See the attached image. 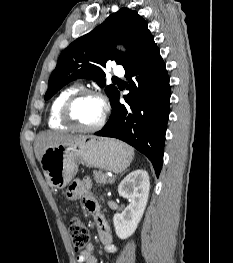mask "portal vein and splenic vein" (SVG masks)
Segmentation results:
<instances>
[{"label": "portal vein and splenic vein", "instance_id": "1", "mask_svg": "<svg viewBox=\"0 0 233 263\" xmlns=\"http://www.w3.org/2000/svg\"><path fill=\"white\" fill-rule=\"evenodd\" d=\"M109 180L113 181V178H109Z\"/></svg>", "mask_w": 233, "mask_h": 263}]
</instances>
